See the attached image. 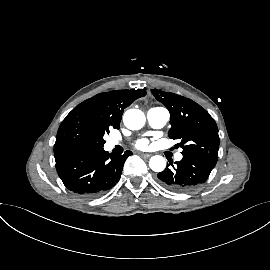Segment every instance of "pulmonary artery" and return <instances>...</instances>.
Instances as JSON below:
<instances>
[{"mask_svg": "<svg viewBox=\"0 0 270 270\" xmlns=\"http://www.w3.org/2000/svg\"><path fill=\"white\" fill-rule=\"evenodd\" d=\"M147 120H148L149 125L152 128L160 129V128L164 127L166 125V123L168 122L169 112L167 109H165L163 107L150 108L147 112ZM116 144H118V142L115 140H111L109 142V145L111 147L115 146ZM182 157L183 156L181 153H177L175 155L176 160H181Z\"/></svg>", "mask_w": 270, "mask_h": 270, "instance_id": "e3ab8cb5", "label": "pulmonary artery"}]
</instances>
